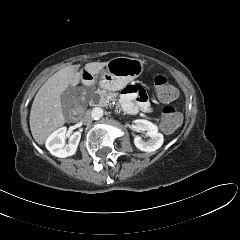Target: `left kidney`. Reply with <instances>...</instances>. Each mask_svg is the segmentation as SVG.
Returning <instances> with one entry per match:
<instances>
[{
  "instance_id": "obj_1",
  "label": "left kidney",
  "mask_w": 240,
  "mask_h": 240,
  "mask_svg": "<svg viewBox=\"0 0 240 240\" xmlns=\"http://www.w3.org/2000/svg\"><path fill=\"white\" fill-rule=\"evenodd\" d=\"M132 129L136 132L146 131V134L150 137L147 141H144L140 136L134 138V144L139 150L153 152L162 146L163 135L159 133L158 127L152 122L144 119L134 120Z\"/></svg>"
}]
</instances>
